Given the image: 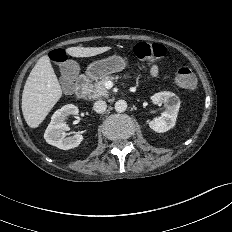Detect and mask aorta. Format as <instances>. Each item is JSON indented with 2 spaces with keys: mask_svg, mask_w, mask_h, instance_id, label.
Instances as JSON below:
<instances>
[{
  "mask_svg": "<svg viewBox=\"0 0 232 232\" xmlns=\"http://www.w3.org/2000/svg\"><path fill=\"white\" fill-rule=\"evenodd\" d=\"M127 109V102L125 100H118L115 103V110L117 112H124Z\"/></svg>",
  "mask_w": 232,
  "mask_h": 232,
  "instance_id": "aorta-1",
  "label": "aorta"
}]
</instances>
